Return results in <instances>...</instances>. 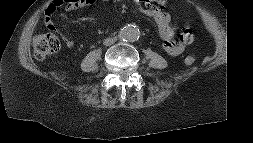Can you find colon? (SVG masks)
Wrapping results in <instances>:
<instances>
[{"label": "colon", "instance_id": "obj_1", "mask_svg": "<svg viewBox=\"0 0 253 143\" xmlns=\"http://www.w3.org/2000/svg\"><path fill=\"white\" fill-rule=\"evenodd\" d=\"M148 6H155L159 0H142ZM92 2V0H53L47 7L46 11L53 14L58 8H74ZM192 38V32L185 29L183 32V39L189 43ZM60 49V41L53 33L38 34L33 39V53L34 57L38 60L45 59L46 57L57 53ZM192 57L187 56L185 63L190 64Z\"/></svg>", "mask_w": 253, "mask_h": 143}]
</instances>
